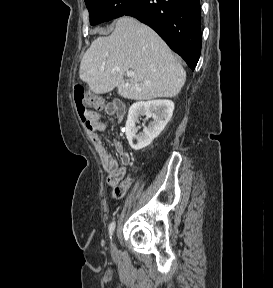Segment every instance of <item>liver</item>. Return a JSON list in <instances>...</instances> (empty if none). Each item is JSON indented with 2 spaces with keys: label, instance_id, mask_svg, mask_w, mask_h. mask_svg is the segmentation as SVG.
Instances as JSON below:
<instances>
[{
  "label": "liver",
  "instance_id": "1",
  "mask_svg": "<svg viewBox=\"0 0 273 288\" xmlns=\"http://www.w3.org/2000/svg\"><path fill=\"white\" fill-rule=\"evenodd\" d=\"M133 71L131 82H125ZM80 79L95 94L111 92L131 100L173 98L179 94L186 73L167 44L147 25L131 17L117 20L110 36L98 37L84 54Z\"/></svg>",
  "mask_w": 273,
  "mask_h": 288
}]
</instances>
